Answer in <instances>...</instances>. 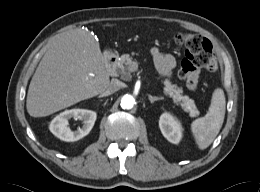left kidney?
<instances>
[{
  "mask_svg": "<svg viewBox=\"0 0 260 192\" xmlns=\"http://www.w3.org/2000/svg\"><path fill=\"white\" fill-rule=\"evenodd\" d=\"M159 128L163 136L171 143L178 144L182 138V126L170 113H163L159 119Z\"/></svg>",
  "mask_w": 260,
  "mask_h": 192,
  "instance_id": "obj_1",
  "label": "left kidney"
}]
</instances>
